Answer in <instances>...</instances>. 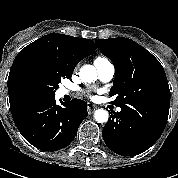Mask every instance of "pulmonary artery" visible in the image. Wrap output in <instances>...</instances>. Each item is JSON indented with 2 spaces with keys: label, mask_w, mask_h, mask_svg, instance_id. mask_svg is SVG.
Segmentation results:
<instances>
[{
  "label": "pulmonary artery",
  "mask_w": 178,
  "mask_h": 178,
  "mask_svg": "<svg viewBox=\"0 0 178 178\" xmlns=\"http://www.w3.org/2000/svg\"><path fill=\"white\" fill-rule=\"evenodd\" d=\"M96 66V70L99 76V79L104 82H110L115 74V68L114 65L110 62V61H105V62H101L95 65ZM60 93L62 95L67 94L68 90L66 89H61ZM118 111H120V108H118Z\"/></svg>",
  "instance_id": "e3ab8cb5"
}]
</instances>
